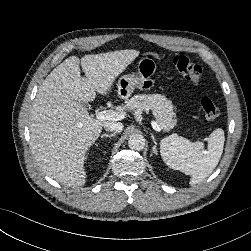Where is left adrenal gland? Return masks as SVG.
Instances as JSON below:
<instances>
[{"label": "left adrenal gland", "mask_w": 251, "mask_h": 251, "mask_svg": "<svg viewBox=\"0 0 251 251\" xmlns=\"http://www.w3.org/2000/svg\"><path fill=\"white\" fill-rule=\"evenodd\" d=\"M151 137L154 142V146L152 147V152L157 155V150H156L157 142H156L155 137L153 135Z\"/></svg>", "instance_id": "1"}]
</instances>
